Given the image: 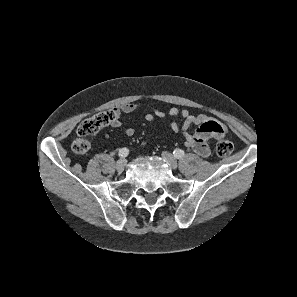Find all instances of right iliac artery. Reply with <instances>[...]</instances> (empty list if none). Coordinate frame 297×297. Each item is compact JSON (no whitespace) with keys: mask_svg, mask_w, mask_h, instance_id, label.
<instances>
[{"mask_svg":"<svg viewBox=\"0 0 297 297\" xmlns=\"http://www.w3.org/2000/svg\"><path fill=\"white\" fill-rule=\"evenodd\" d=\"M129 154V150L127 148H122L119 150L118 152V155L121 157V158H125L127 157Z\"/></svg>","mask_w":297,"mask_h":297,"instance_id":"right-iliac-artery-1","label":"right iliac artery"}]
</instances>
